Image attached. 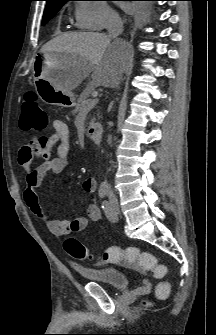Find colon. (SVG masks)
<instances>
[{
  "mask_svg": "<svg viewBox=\"0 0 216 335\" xmlns=\"http://www.w3.org/2000/svg\"><path fill=\"white\" fill-rule=\"evenodd\" d=\"M48 123L46 112L40 106L37 95L34 92H27L22 104L20 127L24 131L44 130ZM42 141V139H40ZM65 251L77 260H92L93 254L76 238H68L64 242ZM105 263H125L134 265L139 270L150 272L156 279H164L167 269L163 264L157 262L156 257L149 253L140 251L136 247L122 249L117 246L108 247L102 258ZM169 281L163 280L156 287V294L165 298L170 292Z\"/></svg>",
  "mask_w": 216,
  "mask_h": 335,
  "instance_id": "obj_1",
  "label": "colon"
}]
</instances>
